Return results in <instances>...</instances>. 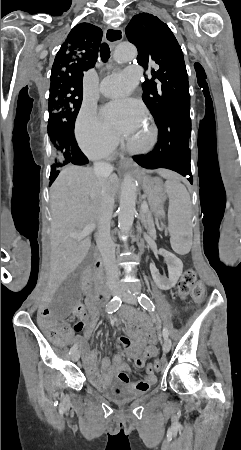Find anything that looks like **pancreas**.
<instances>
[{
    "instance_id": "obj_1",
    "label": "pancreas",
    "mask_w": 241,
    "mask_h": 450,
    "mask_svg": "<svg viewBox=\"0 0 241 450\" xmlns=\"http://www.w3.org/2000/svg\"><path fill=\"white\" fill-rule=\"evenodd\" d=\"M142 220L144 222V224H146V228H148V232H154V224L152 222V216H151V212H147V214H145V216H142ZM148 241L150 243H153L155 241V238L153 236H150L148 238ZM98 278L101 282V284H103L104 282V278H103V274H98Z\"/></svg>"
}]
</instances>
